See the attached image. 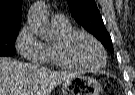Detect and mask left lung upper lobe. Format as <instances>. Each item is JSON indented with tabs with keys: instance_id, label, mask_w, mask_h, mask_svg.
Listing matches in <instances>:
<instances>
[{
	"instance_id": "left-lung-upper-lobe-1",
	"label": "left lung upper lobe",
	"mask_w": 135,
	"mask_h": 95,
	"mask_svg": "<svg viewBox=\"0 0 135 95\" xmlns=\"http://www.w3.org/2000/svg\"><path fill=\"white\" fill-rule=\"evenodd\" d=\"M74 19L88 32L92 33L110 51L114 52L95 0H67Z\"/></svg>"
}]
</instances>
